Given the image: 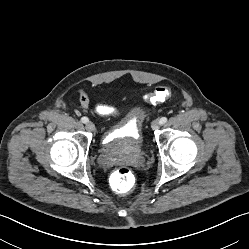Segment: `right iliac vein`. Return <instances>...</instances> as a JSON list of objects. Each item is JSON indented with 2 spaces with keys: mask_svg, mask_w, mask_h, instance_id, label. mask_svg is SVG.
Listing matches in <instances>:
<instances>
[{
  "mask_svg": "<svg viewBox=\"0 0 249 249\" xmlns=\"http://www.w3.org/2000/svg\"><path fill=\"white\" fill-rule=\"evenodd\" d=\"M86 129L90 132H94L96 130V127L92 122H87Z\"/></svg>",
  "mask_w": 249,
  "mask_h": 249,
  "instance_id": "63e3f726",
  "label": "right iliac vein"
}]
</instances>
